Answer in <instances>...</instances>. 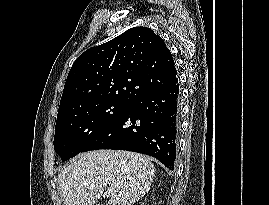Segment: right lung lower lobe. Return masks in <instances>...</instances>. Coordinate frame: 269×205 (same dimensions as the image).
<instances>
[{
  "label": "right lung lower lobe",
  "instance_id": "obj_1",
  "mask_svg": "<svg viewBox=\"0 0 269 205\" xmlns=\"http://www.w3.org/2000/svg\"><path fill=\"white\" fill-rule=\"evenodd\" d=\"M180 125L179 85L146 93L109 123L82 152L116 149L158 159L174 170Z\"/></svg>",
  "mask_w": 269,
  "mask_h": 205
}]
</instances>
